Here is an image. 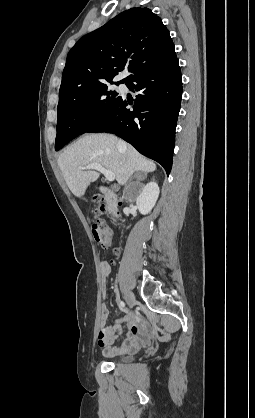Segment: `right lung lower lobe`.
I'll return each mask as SVG.
<instances>
[{
    "instance_id": "98d812e1",
    "label": "right lung lower lobe",
    "mask_w": 255,
    "mask_h": 418,
    "mask_svg": "<svg viewBox=\"0 0 255 418\" xmlns=\"http://www.w3.org/2000/svg\"><path fill=\"white\" fill-rule=\"evenodd\" d=\"M125 84L139 92L135 102L121 97L111 113L86 133L116 134L141 154L160 163L169 175L182 97L178 59L175 56L151 67ZM129 104L133 109L126 108Z\"/></svg>"
}]
</instances>
